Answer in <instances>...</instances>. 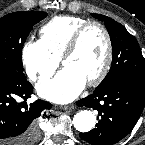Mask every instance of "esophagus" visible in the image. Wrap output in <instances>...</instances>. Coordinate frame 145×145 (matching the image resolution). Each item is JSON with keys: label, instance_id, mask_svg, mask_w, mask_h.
I'll return each instance as SVG.
<instances>
[{"label": "esophagus", "instance_id": "obj_1", "mask_svg": "<svg viewBox=\"0 0 145 145\" xmlns=\"http://www.w3.org/2000/svg\"><path fill=\"white\" fill-rule=\"evenodd\" d=\"M74 108H75L74 104L60 106V109H62V110H72Z\"/></svg>", "mask_w": 145, "mask_h": 145}]
</instances>
